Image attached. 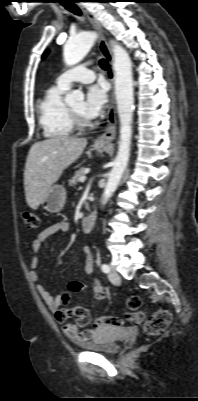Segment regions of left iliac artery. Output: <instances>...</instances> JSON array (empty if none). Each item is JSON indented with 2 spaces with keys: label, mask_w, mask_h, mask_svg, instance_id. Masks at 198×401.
<instances>
[{
  "label": "left iliac artery",
  "mask_w": 198,
  "mask_h": 401,
  "mask_svg": "<svg viewBox=\"0 0 198 401\" xmlns=\"http://www.w3.org/2000/svg\"><path fill=\"white\" fill-rule=\"evenodd\" d=\"M101 269L104 273H108L110 271V268L107 264H102Z\"/></svg>",
  "instance_id": "44dca946"
}]
</instances>
